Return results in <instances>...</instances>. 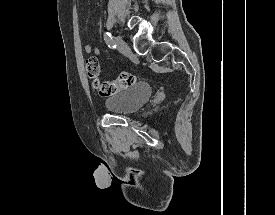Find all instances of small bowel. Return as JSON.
Returning a JSON list of instances; mask_svg holds the SVG:
<instances>
[{"label": "small bowel", "instance_id": "1", "mask_svg": "<svg viewBox=\"0 0 275 215\" xmlns=\"http://www.w3.org/2000/svg\"><path fill=\"white\" fill-rule=\"evenodd\" d=\"M83 50L85 53L94 52L95 54H99V49L91 44H88V43L84 45Z\"/></svg>", "mask_w": 275, "mask_h": 215}]
</instances>
